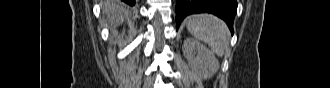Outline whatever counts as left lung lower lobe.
Segmentation results:
<instances>
[{"mask_svg":"<svg viewBox=\"0 0 330 88\" xmlns=\"http://www.w3.org/2000/svg\"><path fill=\"white\" fill-rule=\"evenodd\" d=\"M212 13L223 19L228 25L232 35L233 21L237 12L236 0H176V29L182 20L194 13Z\"/></svg>","mask_w":330,"mask_h":88,"instance_id":"left-lung-lower-lobe-1","label":"left lung lower lobe"}]
</instances>
